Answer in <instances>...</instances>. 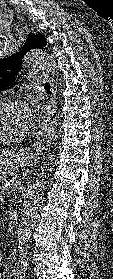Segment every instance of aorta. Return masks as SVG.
Masks as SVG:
<instances>
[{"label":"aorta","mask_w":113,"mask_h":279,"mask_svg":"<svg viewBox=\"0 0 113 279\" xmlns=\"http://www.w3.org/2000/svg\"><path fill=\"white\" fill-rule=\"evenodd\" d=\"M24 61L27 65L33 68H42L46 71L54 72L55 64L52 57L46 50L43 49H31L24 57ZM61 127L57 120H52L48 124L42 127L40 131L39 144L41 146L52 145L60 136ZM43 186L41 182H36L34 188L29 194V201L25 206L23 216L21 218L18 232V267L23 269L28 266L27 262V249L28 242L30 240L32 230L39 218V212L42 206Z\"/></svg>","instance_id":"1"}]
</instances>
